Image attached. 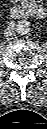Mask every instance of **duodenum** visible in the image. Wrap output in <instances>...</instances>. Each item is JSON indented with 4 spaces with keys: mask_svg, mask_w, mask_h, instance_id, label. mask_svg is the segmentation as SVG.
I'll return each mask as SVG.
<instances>
[{
    "mask_svg": "<svg viewBox=\"0 0 47 129\" xmlns=\"http://www.w3.org/2000/svg\"><path fill=\"white\" fill-rule=\"evenodd\" d=\"M10 13L14 18H28L32 16L40 18L45 15V9L35 3H27L13 6Z\"/></svg>",
    "mask_w": 47,
    "mask_h": 129,
    "instance_id": "duodenum-1",
    "label": "duodenum"
}]
</instances>
